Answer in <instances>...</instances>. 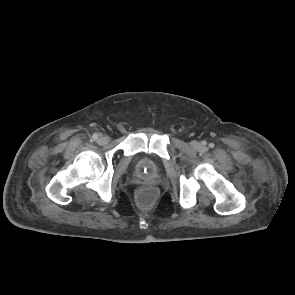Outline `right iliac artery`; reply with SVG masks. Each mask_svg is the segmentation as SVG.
<instances>
[{"instance_id": "1", "label": "right iliac artery", "mask_w": 295, "mask_h": 295, "mask_svg": "<svg viewBox=\"0 0 295 295\" xmlns=\"http://www.w3.org/2000/svg\"><path fill=\"white\" fill-rule=\"evenodd\" d=\"M98 135L97 134H94L93 136H92V140H97L98 139Z\"/></svg>"}]
</instances>
